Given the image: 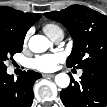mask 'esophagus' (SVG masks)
Listing matches in <instances>:
<instances>
[{
  "mask_svg": "<svg viewBox=\"0 0 107 107\" xmlns=\"http://www.w3.org/2000/svg\"><path fill=\"white\" fill-rule=\"evenodd\" d=\"M55 74H43L44 78H53Z\"/></svg>",
  "mask_w": 107,
  "mask_h": 107,
  "instance_id": "obj_1",
  "label": "esophagus"
}]
</instances>
